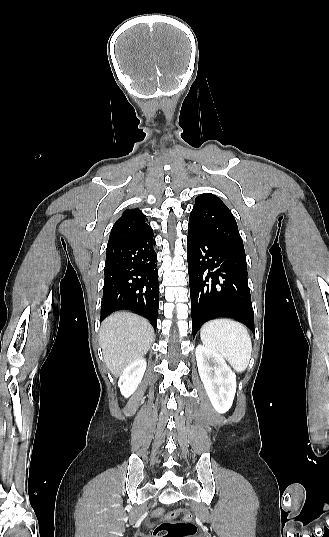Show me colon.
Listing matches in <instances>:
<instances>
[{"instance_id": "1", "label": "colon", "mask_w": 329, "mask_h": 537, "mask_svg": "<svg viewBox=\"0 0 329 537\" xmlns=\"http://www.w3.org/2000/svg\"><path fill=\"white\" fill-rule=\"evenodd\" d=\"M154 519H165L160 523L155 531V537H194L197 527L192 520V515L188 510L181 509L175 511L159 510L153 511ZM179 518V520H176Z\"/></svg>"}]
</instances>
